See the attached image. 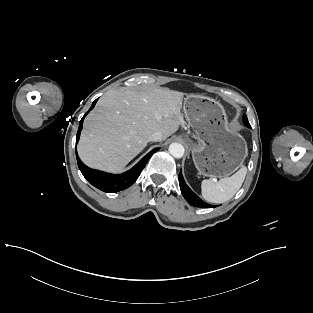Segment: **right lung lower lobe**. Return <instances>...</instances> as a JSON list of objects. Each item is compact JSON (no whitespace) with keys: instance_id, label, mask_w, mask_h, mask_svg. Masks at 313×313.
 <instances>
[{"instance_id":"right-lung-lower-lobe-1","label":"right lung lower lobe","mask_w":313,"mask_h":313,"mask_svg":"<svg viewBox=\"0 0 313 313\" xmlns=\"http://www.w3.org/2000/svg\"><path fill=\"white\" fill-rule=\"evenodd\" d=\"M97 99L92 103L90 109L86 112L79 123V128L76 136V144L80 137V132L83 126V120L85 116L94 108ZM159 148H155L151 150L147 155H145L134 167H132L129 171L124 172L119 175H113L106 172L98 171L87 167L78 157L77 162L80 171L82 172L83 176L96 188L104 191V192H119L131 186L139 177L141 171L145 167L149 158L158 151Z\"/></svg>"}]
</instances>
